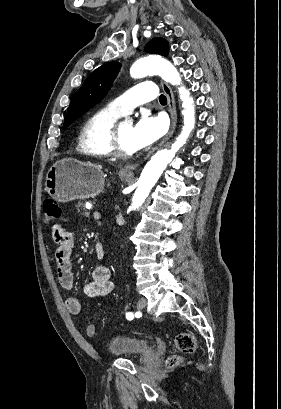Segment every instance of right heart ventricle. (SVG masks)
I'll return each instance as SVG.
<instances>
[{
	"label": "right heart ventricle",
	"mask_w": 281,
	"mask_h": 409,
	"mask_svg": "<svg viewBox=\"0 0 281 409\" xmlns=\"http://www.w3.org/2000/svg\"><path fill=\"white\" fill-rule=\"evenodd\" d=\"M120 114L110 108L93 112L85 121L80 137V149L93 158H106L109 153L105 147L108 128L118 120Z\"/></svg>",
	"instance_id": "obj_1"
}]
</instances>
